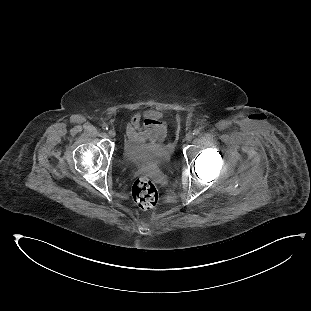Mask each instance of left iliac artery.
I'll return each mask as SVG.
<instances>
[{
    "label": "left iliac artery",
    "mask_w": 311,
    "mask_h": 311,
    "mask_svg": "<svg viewBox=\"0 0 311 311\" xmlns=\"http://www.w3.org/2000/svg\"><path fill=\"white\" fill-rule=\"evenodd\" d=\"M200 133V130H198V129H195L194 131H193V135H198Z\"/></svg>",
    "instance_id": "left-iliac-artery-1"
}]
</instances>
